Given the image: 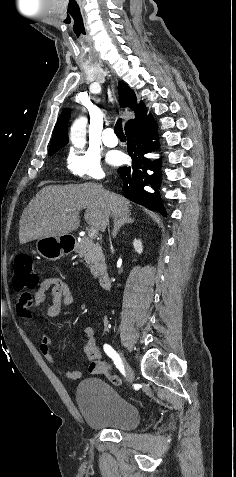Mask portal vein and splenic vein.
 I'll return each mask as SVG.
<instances>
[{"label": "portal vein and splenic vein", "mask_w": 236, "mask_h": 477, "mask_svg": "<svg viewBox=\"0 0 236 477\" xmlns=\"http://www.w3.org/2000/svg\"><path fill=\"white\" fill-rule=\"evenodd\" d=\"M98 230L94 227H91L88 229V236L90 239H94L97 237Z\"/></svg>", "instance_id": "18ae733b"}]
</instances>
